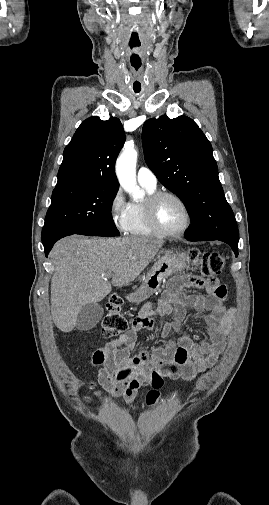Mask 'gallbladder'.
I'll return each instance as SVG.
<instances>
[{
  "label": "gallbladder",
  "instance_id": "1",
  "mask_svg": "<svg viewBox=\"0 0 269 505\" xmlns=\"http://www.w3.org/2000/svg\"><path fill=\"white\" fill-rule=\"evenodd\" d=\"M103 308L98 303L86 304L81 308L77 316L76 327L80 331L93 329L103 316Z\"/></svg>",
  "mask_w": 269,
  "mask_h": 505
}]
</instances>
